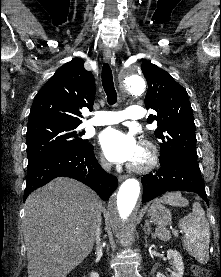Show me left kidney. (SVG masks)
<instances>
[{
    "mask_svg": "<svg viewBox=\"0 0 221 277\" xmlns=\"http://www.w3.org/2000/svg\"><path fill=\"white\" fill-rule=\"evenodd\" d=\"M167 258L173 264V271L171 277H182L184 273V265L182 261V256L176 250H168ZM156 277H164L160 272L157 273Z\"/></svg>",
    "mask_w": 221,
    "mask_h": 277,
    "instance_id": "1",
    "label": "left kidney"
}]
</instances>
